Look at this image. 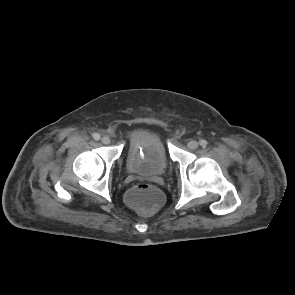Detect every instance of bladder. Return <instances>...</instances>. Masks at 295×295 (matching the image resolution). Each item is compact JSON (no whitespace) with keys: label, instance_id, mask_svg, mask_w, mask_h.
<instances>
[{"label":"bladder","instance_id":"bladder-1","mask_svg":"<svg viewBox=\"0 0 295 295\" xmlns=\"http://www.w3.org/2000/svg\"><path fill=\"white\" fill-rule=\"evenodd\" d=\"M129 172L154 177L164 175L170 165L165 142L157 133H145L132 142L125 154Z\"/></svg>","mask_w":295,"mask_h":295}]
</instances>
